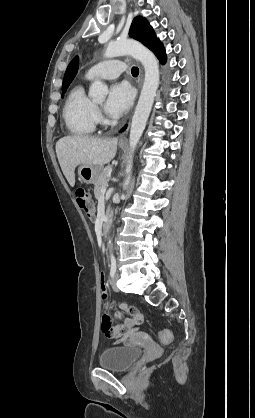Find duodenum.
Listing matches in <instances>:
<instances>
[{
  "label": "duodenum",
  "instance_id": "410a0bca",
  "mask_svg": "<svg viewBox=\"0 0 255 418\" xmlns=\"http://www.w3.org/2000/svg\"><path fill=\"white\" fill-rule=\"evenodd\" d=\"M111 223H112V221L108 217H106L103 220L102 225H101V233H102V235H104L110 229Z\"/></svg>",
  "mask_w": 255,
  "mask_h": 418
}]
</instances>
